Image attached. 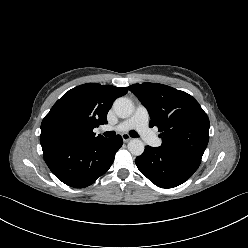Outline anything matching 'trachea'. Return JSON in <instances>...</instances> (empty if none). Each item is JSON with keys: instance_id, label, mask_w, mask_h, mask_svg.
Segmentation results:
<instances>
[{"instance_id": "obj_1", "label": "trachea", "mask_w": 248, "mask_h": 248, "mask_svg": "<svg viewBox=\"0 0 248 248\" xmlns=\"http://www.w3.org/2000/svg\"><path fill=\"white\" fill-rule=\"evenodd\" d=\"M105 137H113L115 135L114 131H107L103 133ZM130 136L132 137H139L138 133L135 131H130L129 132Z\"/></svg>"}]
</instances>
